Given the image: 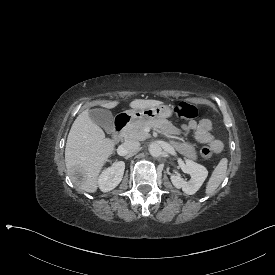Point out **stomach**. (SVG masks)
Segmentation results:
<instances>
[{"instance_id":"stomach-1","label":"stomach","mask_w":275,"mask_h":275,"mask_svg":"<svg viewBox=\"0 0 275 275\" xmlns=\"http://www.w3.org/2000/svg\"><path fill=\"white\" fill-rule=\"evenodd\" d=\"M126 113L133 121H150L154 119L168 118L172 115V110L167 105H158L143 109H131L127 110Z\"/></svg>"}]
</instances>
